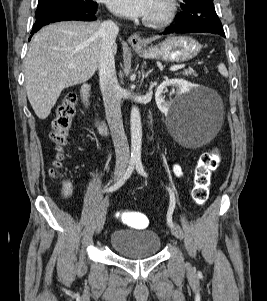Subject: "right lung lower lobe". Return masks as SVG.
<instances>
[{
    "label": "right lung lower lobe",
    "mask_w": 267,
    "mask_h": 301,
    "mask_svg": "<svg viewBox=\"0 0 267 301\" xmlns=\"http://www.w3.org/2000/svg\"><path fill=\"white\" fill-rule=\"evenodd\" d=\"M97 5L89 10L71 12V11H59L55 13H50L47 15L40 16L36 18V22L33 25V30L31 34L37 32L42 26H45L49 23L59 22V21H68V20H83V21H92L96 19Z\"/></svg>",
    "instance_id": "right-lung-lower-lobe-1"
}]
</instances>
